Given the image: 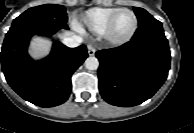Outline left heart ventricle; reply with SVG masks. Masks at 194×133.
<instances>
[{"mask_svg": "<svg viewBox=\"0 0 194 133\" xmlns=\"http://www.w3.org/2000/svg\"><path fill=\"white\" fill-rule=\"evenodd\" d=\"M134 25V17L129 12H122L120 13L111 30V34L115 38H123L127 36Z\"/></svg>", "mask_w": 194, "mask_h": 133, "instance_id": "obj_1", "label": "left heart ventricle"}]
</instances>
